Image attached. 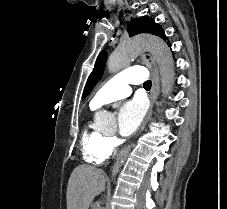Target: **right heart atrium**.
Returning a JSON list of instances; mask_svg holds the SVG:
<instances>
[{
  "instance_id": "1",
  "label": "right heart atrium",
  "mask_w": 227,
  "mask_h": 209,
  "mask_svg": "<svg viewBox=\"0 0 227 209\" xmlns=\"http://www.w3.org/2000/svg\"><path fill=\"white\" fill-rule=\"evenodd\" d=\"M109 143L114 148L117 145V140L114 137H109Z\"/></svg>"
}]
</instances>
